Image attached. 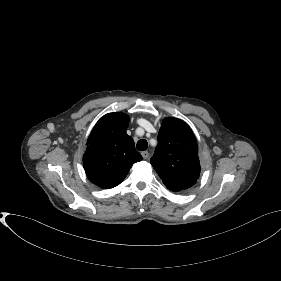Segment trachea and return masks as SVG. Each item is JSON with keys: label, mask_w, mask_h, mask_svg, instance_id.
<instances>
[{"label": "trachea", "mask_w": 281, "mask_h": 281, "mask_svg": "<svg viewBox=\"0 0 281 281\" xmlns=\"http://www.w3.org/2000/svg\"><path fill=\"white\" fill-rule=\"evenodd\" d=\"M136 148L139 151H145L148 148V142L145 139H141L137 142Z\"/></svg>", "instance_id": "obj_1"}]
</instances>
